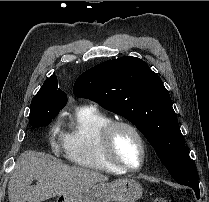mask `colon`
Masks as SVG:
<instances>
[{
    "instance_id": "5ec220e1",
    "label": "colon",
    "mask_w": 209,
    "mask_h": 202,
    "mask_svg": "<svg viewBox=\"0 0 209 202\" xmlns=\"http://www.w3.org/2000/svg\"><path fill=\"white\" fill-rule=\"evenodd\" d=\"M153 202H177V201L172 198L158 197Z\"/></svg>"
}]
</instances>
